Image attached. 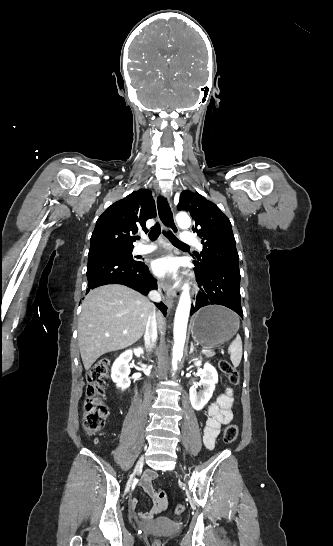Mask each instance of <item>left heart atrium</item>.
<instances>
[{"label":"left heart atrium","mask_w":333,"mask_h":546,"mask_svg":"<svg viewBox=\"0 0 333 546\" xmlns=\"http://www.w3.org/2000/svg\"><path fill=\"white\" fill-rule=\"evenodd\" d=\"M151 268L156 275L163 277H174L176 272V264L169 257L155 259L151 264Z\"/></svg>","instance_id":"left-heart-atrium-1"}]
</instances>
